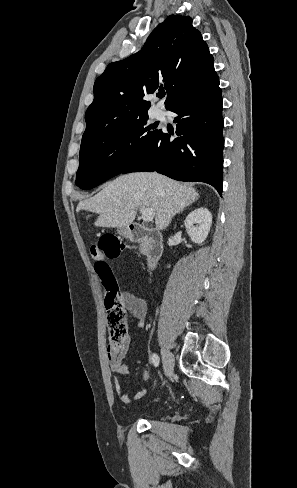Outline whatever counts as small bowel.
<instances>
[{
    "instance_id": "obj_1",
    "label": "small bowel",
    "mask_w": 297,
    "mask_h": 488,
    "mask_svg": "<svg viewBox=\"0 0 297 488\" xmlns=\"http://www.w3.org/2000/svg\"><path fill=\"white\" fill-rule=\"evenodd\" d=\"M123 305L127 311H129L132 316L137 320V325L140 329L145 326V317L147 312V301L144 297L135 295L128 291H123L120 293ZM130 347V338L126 336L121 349L118 352H114L111 347H108L107 358L110 370L114 375V387L117 396L123 404H130L133 401L139 400L144 397L147 393L146 389H142L134 394L132 397L123 393L122 386L117 378L120 375H126L129 373V366L124 364L122 361L126 357ZM150 378V373L148 370H144L141 375V380L147 382Z\"/></svg>"
}]
</instances>
